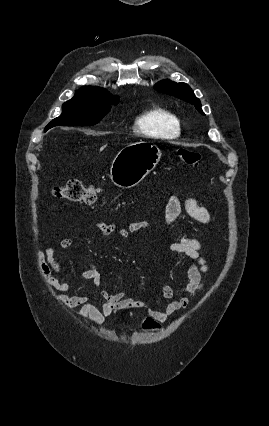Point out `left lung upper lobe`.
Masks as SVG:
<instances>
[{
    "label": "left lung upper lobe",
    "instance_id": "left-lung-upper-lobe-1",
    "mask_svg": "<svg viewBox=\"0 0 269 426\" xmlns=\"http://www.w3.org/2000/svg\"><path fill=\"white\" fill-rule=\"evenodd\" d=\"M154 88L160 92H163L168 95L175 96L179 99H182L186 102L193 104L196 109L204 115L201 109L200 100L194 95L191 88L185 83H176L170 80H163L158 82Z\"/></svg>",
    "mask_w": 269,
    "mask_h": 426
}]
</instances>
